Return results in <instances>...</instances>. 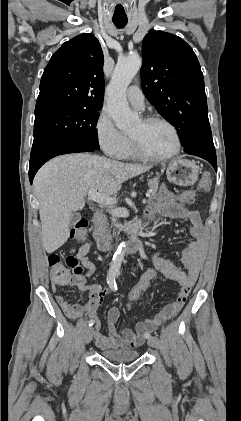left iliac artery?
<instances>
[{
	"mask_svg": "<svg viewBox=\"0 0 241 421\" xmlns=\"http://www.w3.org/2000/svg\"><path fill=\"white\" fill-rule=\"evenodd\" d=\"M116 275H117V276H119V275H120V272H119L118 270L116 271ZM146 338H148V339H149V338H151V336H150V335H147V336H146Z\"/></svg>",
	"mask_w": 241,
	"mask_h": 421,
	"instance_id": "left-iliac-artery-1",
	"label": "left iliac artery"
}]
</instances>
